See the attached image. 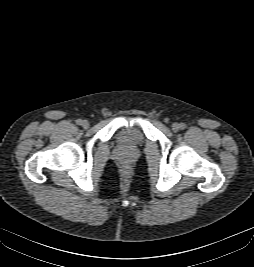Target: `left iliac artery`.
Segmentation results:
<instances>
[{
	"instance_id": "1",
	"label": "left iliac artery",
	"mask_w": 254,
	"mask_h": 267,
	"mask_svg": "<svg viewBox=\"0 0 254 267\" xmlns=\"http://www.w3.org/2000/svg\"><path fill=\"white\" fill-rule=\"evenodd\" d=\"M180 129H185L186 125L184 123L179 124Z\"/></svg>"
}]
</instances>
